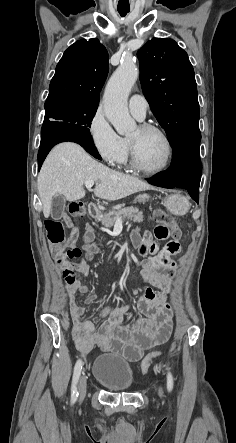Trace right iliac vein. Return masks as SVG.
Returning a JSON list of instances; mask_svg holds the SVG:
<instances>
[{"mask_svg":"<svg viewBox=\"0 0 236 443\" xmlns=\"http://www.w3.org/2000/svg\"><path fill=\"white\" fill-rule=\"evenodd\" d=\"M86 389H87V380H86V377L83 375L80 378L79 386H78V391H79L80 397H83L86 394Z\"/></svg>","mask_w":236,"mask_h":443,"instance_id":"63e3f726","label":"right iliac vein"}]
</instances>
